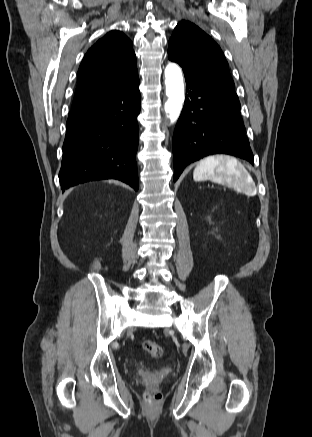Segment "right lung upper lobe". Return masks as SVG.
Returning a JSON list of instances; mask_svg holds the SVG:
<instances>
[{
	"instance_id": "right-lung-upper-lobe-1",
	"label": "right lung upper lobe",
	"mask_w": 312,
	"mask_h": 437,
	"mask_svg": "<svg viewBox=\"0 0 312 437\" xmlns=\"http://www.w3.org/2000/svg\"><path fill=\"white\" fill-rule=\"evenodd\" d=\"M137 76L132 42L122 32L110 31L88 50L80 64L71 112L111 96Z\"/></svg>"
}]
</instances>
